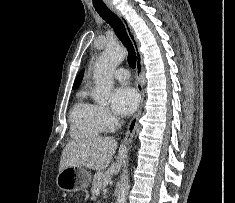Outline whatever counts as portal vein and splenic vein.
I'll return each instance as SVG.
<instances>
[{"instance_id":"18ae733b","label":"portal vein and splenic vein","mask_w":235,"mask_h":203,"mask_svg":"<svg viewBox=\"0 0 235 203\" xmlns=\"http://www.w3.org/2000/svg\"><path fill=\"white\" fill-rule=\"evenodd\" d=\"M99 194H100V190H96L95 195H99Z\"/></svg>"}]
</instances>
